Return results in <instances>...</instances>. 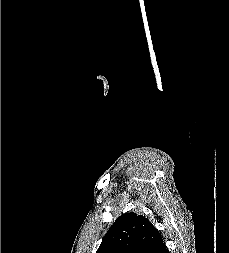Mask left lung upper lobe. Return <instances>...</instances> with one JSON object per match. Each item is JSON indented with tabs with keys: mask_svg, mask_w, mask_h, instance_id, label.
<instances>
[{
	"mask_svg": "<svg viewBox=\"0 0 229 253\" xmlns=\"http://www.w3.org/2000/svg\"><path fill=\"white\" fill-rule=\"evenodd\" d=\"M163 242L160 232L144 216H119L103 237L96 253H155Z\"/></svg>",
	"mask_w": 229,
	"mask_h": 253,
	"instance_id": "obj_1",
	"label": "left lung upper lobe"
}]
</instances>
